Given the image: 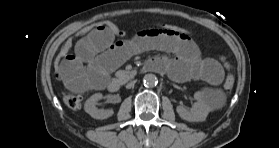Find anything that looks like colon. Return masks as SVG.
<instances>
[{
	"label": "colon",
	"mask_w": 279,
	"mask_h": 148,
	"mask_svg": "<svg viewBox=\"0 0 279 148\" xmlns=\"http://www.w3.org/2000/svg\"><path fill=\"white\" fill-rule=\"evenodd\" d=\"M95 29H102V30H107L111 32L114 36L118 37H125L127 36L130 32L124 29L123 27L119 26L115 22L112 21H101L98 23H94L91 25H88L84 27L78 34H76L75 37H71L68 40L65 41V43L62 45L60 48L56 58H55V71L56 75L59 77V68L62 60L71 53L72 49L74 48L75 44V38L79 36H83L85 34H88L92 30ZM152 30H159L162 32H167L170 34H174L186 39H191L190 32L185 29L182 26L175 25V24H159L151 28H146V29H140L134 32V34H138L141 32H150ZM192 40V39H191ZM220 60L224 63V66L226 67L228 74L226 76L225 82H224V90L226 93H231L234 84H235V79L232 73L230 72L229 65L224 62L223 58H220ZM64 103L66 106L71 109V110H79L82 105L83 98L81 95L77 94H70V93H65L62 96Z\"/></svg>",
	"instance_id": "obj_1"
}]
</instances>
